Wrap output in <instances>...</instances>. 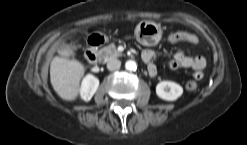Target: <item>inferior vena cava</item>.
Returning <instances> with one entry per match:
<instances>
[{
	"instance_id": "inferior-vena-cava-1",
	"label": "inferior vena cava",
	"mask_w": 247,
	"mask_h": 145,
	"mask_svg": "<svg viewBox=\"0 0 247 145\" xmlns=\"http://www.w3.org/2000/svg\"><path fill=\"white\" fill-rule=\"evenodd\" d=\"M121 66V61L118 59H109L107 61L108 70H117Z\"/></svg>"
}]
</instances>
